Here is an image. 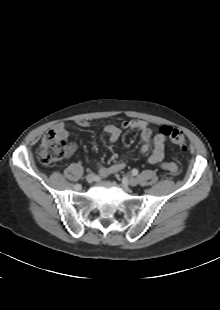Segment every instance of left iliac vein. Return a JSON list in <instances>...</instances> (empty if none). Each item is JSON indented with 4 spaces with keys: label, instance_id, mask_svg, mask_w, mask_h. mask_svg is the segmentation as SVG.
<instances>
[{
    "label": "left iliac vein",
    "instance_id": "4c4485c4",
    "mask_svg": "<svg viewBox=\"0 0 220 310\" xmlns=\"http://www.w3.org/2000/svg\"><path fill=\"white\" fill-rule=\"evenodd\" d=\"M128 183H129V185H131V186H136V185L138 184V180H137V178H135V177H129V178H128Z\"/></svg>",
    "mask_w": 220,
    "mask_h": 310
}]
</instances>
